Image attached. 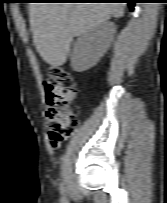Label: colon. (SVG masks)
I'll list each match as a JSON object with an SVG mask.
<instances>
[{"instance_id":"obj_1","label":"colon","mask_w":167,"mask_h":203,"mask_svg":"<svg viewBox=\"0 0 167 203\" xmlns=\"http://www.w3.org/2000/svg\"><path fill=\"white\" fill-rule=\"evenodd\" d=\"M47 98L46 116L49 123L48 135L53 146L73 134L77 116L70 107L77 92L72 74L62 66H51L44 81Z\"/></svg>"}]
</instances>
